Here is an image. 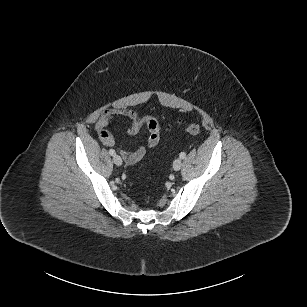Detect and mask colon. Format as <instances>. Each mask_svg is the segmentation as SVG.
<instances>
[{
  "instance_id": "5ec220e1",
  "label": "colon",
  "mask_w": 307,
  "mask_h": 307,
  "mask_svg": "<svg viewBox=\"0 0 307 307\" xmlns=\"http://www.w3.org/2000/svg\"><path fill=\"white\" fill-rule=\"evenodd\" d=\"M177 126H181L185 129V131H187L188 133L192 134V135H197L200 133L201 131V128L198 124H186V125H183L181 121H179L177 123ZM174 128L173 125H169L167 127V131H172V129Z\"/></svg>"
}]
</instances>
